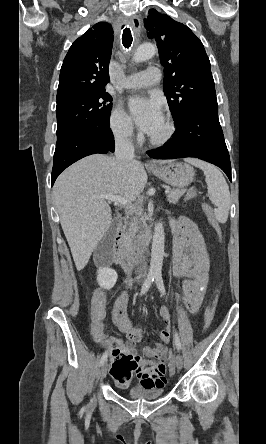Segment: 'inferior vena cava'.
Masks as SVG:
<instances>
[{
	"mask_svg": "<svg viewBox=\"0 0 266 444\" xmlns=\"http://www.w3.org/2000/svg\"><path fill=\"white\" fill-rule=\"evenodd\" d=\"M132 131L129 130L123 135H119L115 139V157L117 160L127 163L134 159V146L131 140ZM140 268L147 270V262L145 258L140 260Z\"/></svg>",
	"mask_w": 266,
	"mask_h": 444,
	"instance_id": "inferior-vena-cava-1",
	"label": "inferior vena cava"
}]
</instances>
